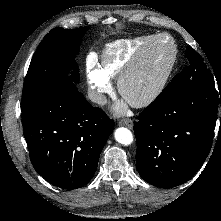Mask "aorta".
I'll use <instances>...</instances> for the list:
<instances>
[{"mask_svg": "<svg viewBox=\"0 0 221 221\" xmlns=\"http://www.w3.org/2000/svg\"><path fill=\"white\" fill-rule=\"evenodd\" d=\"M114 136L116 141L123 145H130L133 141V135L131 131L124 127L116 129Z\"/></svg>", "mask_w": 221, "mask_h": 221, "instance_id": "1", "label": "aorta"}]
</instances>
